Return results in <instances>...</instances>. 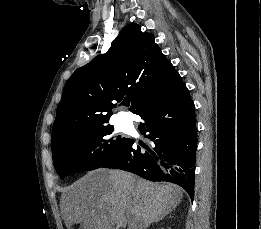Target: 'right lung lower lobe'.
<instances>
[{"label": "right lung lower lobe", "mask_w": 261, "mask_h": 229, "mask_svg": "<svg viewBox=\"0 0 261 229\" xmlns=\"http://www.w3.org/2000/svg\"><path fill=\"white\" fill-rule=\"evenodd\" d=\"M145 121L140 132L150 139L147 151L130 140L125 149L103 168L122 169L151 181H167L182 187L193 200L197 128L195 105L182 78L138 113Z\"/></svg>", "instance_id": "1"}]
</instances>
